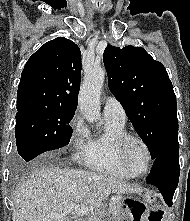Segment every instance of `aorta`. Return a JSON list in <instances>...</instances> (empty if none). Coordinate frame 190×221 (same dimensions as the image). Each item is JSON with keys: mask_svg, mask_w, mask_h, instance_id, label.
<instances>
[{"mask_svg": "<svg viewBox=\"0 0 190 221\" xmlns=\"http://www.w3.org/2000/svg\"><path fill=\"white\" fill-rule=\"evenodd\" d=\"M105 71L97 68L85 75L82 83L78 106L82 115L89 123H97L100 120V93L105 79Z\"/></svg>", "mask_w": 190, "mask_h": 221, "instance_id": "762f6f07", "label": "aorta"}]
</instances>
